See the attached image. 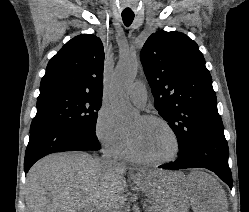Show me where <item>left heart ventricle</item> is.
<instances>
[{
  "instance_id": "1",
  "label": "left heart ventricle",
  "mask_w": 249,
  "mask_h": 212,
  "mask_svg": "<svg viewBox=\"0 0 249 212\" xmlns=\"http://www.w3.org/2000/svg\"><path fill=\"white\" fill-rule=\"evenodd\" d=\"M128 136L135 152L147 160H163L175 152L171 133L157 122H146L139 117L129 127Z\"/></svg>"
}]
</instances>
